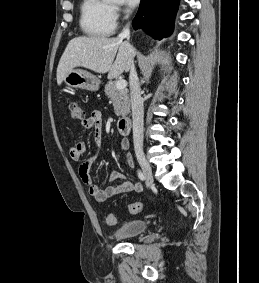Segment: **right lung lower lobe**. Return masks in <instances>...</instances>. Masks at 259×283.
Here are the masks:
<instances>
[{"instance_id": "right-lung-lower-lobe-1", "label": "right lung lower lobe", "mask_w": 259, "mask_h": 283, "mask_svg": "<svg viewBox=\"0 0 259 283\" xmlns=\"http://www.w3.org/2000/svg\"><path fill=\"white\" fill-rule=\"evenodd\" d=\"M179 0H141L133 20L134 29L141 28L154 38L162 39L173 31Z\"/></svg>"}]
</instances>
